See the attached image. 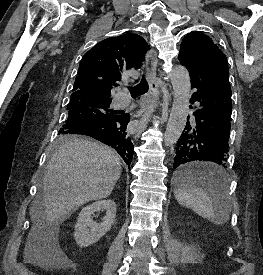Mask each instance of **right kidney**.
Instances as JSON below:
<instances>
[{"label": "right kidney", "mask_w": 263, "mask_h": 275, "mask_svg": "<svg viewBox=\"0 0 263 275\" xmlns=\"http://www.w3.org/2000/svg\"><path fill=\"white\" fill-rule=\"evenodd\" d=\"M101 210L106 211L103 222L96 223L92 214ZM116 204L113 200L96 201L84 207L80 212L75 225L74 238L80 247H88L104 236L114 224Z\"/></svg>", "instance_id": "ca27d5eb"}]
</instances>
